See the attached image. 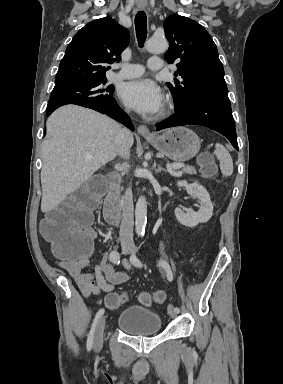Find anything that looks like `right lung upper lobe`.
<instances>
[{"label": "right lung upper lobe", "instance_id": "1", "mask_svg": "<svg viewBox=\"0 0 283 384\" xmlns=\"http://www.w3.org/2000/svg\"><path fill=\"white\" fill-rule=\"evenodd\" d=\"M128 42V30L110 17L88 23L68 45L55 87L106 79L108 65L120 60V53Z\"/></svg>", "mask_w": 283, "mask_h": 384}]
</instances>
